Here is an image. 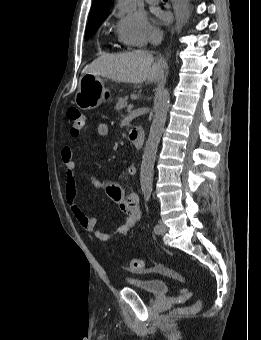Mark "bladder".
Returning a JSON list of instances; mask_svg holds the SVG:
<instances>
[{
    "instance_id": "1",
    "label": "bladder",
    "mask_w": 261,
    "mask_h": 340,
    "mask_svg": "<svg viewBox=\"0 0 261 340\" xmlns=\"http://www.w3.org/2000/svg\"><path fill=\"white\" fill-rule=\"evenodd\" d=\"M125 283L135 290L154 297L164 296L169 291V282L159 277L126 278Z\"/></svg>"
}]
</instances>
